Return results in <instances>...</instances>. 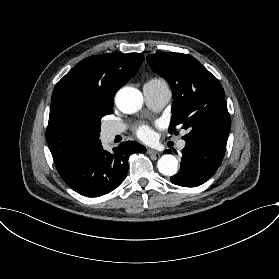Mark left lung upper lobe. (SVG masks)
<instances>
[{"mask_svg":"<svg viewBox=\"0 0 279 279\" xmlns=\"http://www.w3.org/2000/svg\"><path fill=\"white\" fill-rule=\"evenodd\" d=\"M147 61L172 89L169 133L180 125L189 131L185 141L208 140L225 146L231 120L219 80L190 55L160 52L149 54Z\"/></svg>","mask_w":279,"mask_h":279,"instance_id":"1","label":"left lung upper lobe"}]
</instances>
